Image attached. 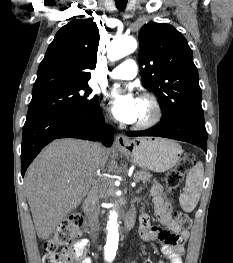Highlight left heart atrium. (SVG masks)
I'll return each mask as SVG.
<instances>
[{
	"instance_id": "left-heart-atrium-1",
	"label": "left heart atrium",
	"mask_w": 233,
	"mask_h": 263,
	"mask_svg": "<svg viewBox=\"0 0 233 263\" xmlns=\"http://www.w3.org/2000/svg\"><path fill=\"white\" fill-rule=\"evenodd\" d=\"M110 110L116 119L132 124L138 120L141 98L131 90L115 87L109 93Z\"/></svg>"
}]
</instances>
